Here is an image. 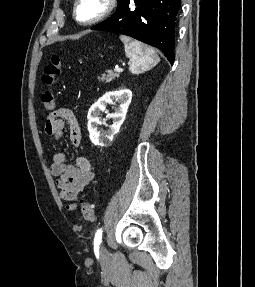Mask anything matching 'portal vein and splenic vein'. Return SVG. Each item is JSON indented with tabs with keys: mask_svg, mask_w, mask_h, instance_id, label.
I'll list each match as a JSON object with an SVG mask.
<instances>
[{
	"mask_svg": "<svg viewBox=\"0 0 255 287\" xmlns=\"http://www.w3.org/2000/svg\"><path fill=\"white\" fill-rule=\"evenodd\" d=\"M115 72H123L122 68H119V66H115Z\"/></svg>",
	"mask_w": 255,
	"mask_h": 287,
	"instance_id": "portal-vein-and-splenic-vein-1",
	"label": "portal vein and splenic vein"
}]
</instances>
